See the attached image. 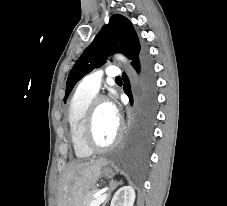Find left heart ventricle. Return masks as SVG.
I'll return each mask as SVG.
<instances>
[{
  "label": "left heart ventricle",
  "instance_id": "obj_1",
  "mask_svg": "<svg viewBox=\"0 0 227 206\" xmlns=\"http://www.w3.org/2000/svg\"><path fill=\"white\" fill-rule=\"evenodd\" d=\"M116 122L108 112L106 102L101 103L95 116V139L100 145H108L114 139L117 131Z\"/></svg>",
  "mask_w": 227,
  "mask_h": 206
}]
</instances>
